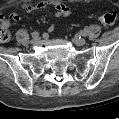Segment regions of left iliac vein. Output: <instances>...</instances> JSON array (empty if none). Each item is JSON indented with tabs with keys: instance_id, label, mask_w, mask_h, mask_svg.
<instances>
[{
	"instance_id": "obj_1",
	"label": "left iliac vein",
	"mask_w": 119,
	"mask_h": 119,
	"mask_svg": "<svg viewBox=\"0 0 119 119\" xmlns=\"http://www.w3.org/2000/svg\"><path fill=\"white\" fill-rule=\"evenodd\" d=\"M72 41L78 46H83L86 44V40L84 38H80V37L73 38Z\"/></svg>"
}]
</instances>
